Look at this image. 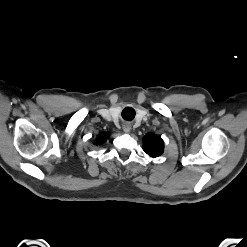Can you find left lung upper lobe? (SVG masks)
<instances>
[{"instance_id": "obj_1", "label": "left lung upper lobe", "mask_w": 247, "mask_h": 247, "mask_svg": "<svg viewBox=\"0 0 247 247\" xmlns=\"http://www.w3.org/2000/svg\"><path fill=\"white\" fill-rule=\"evenodd\" d=\"M144 151L151 157H158L164 151V142L158 135H148L143 139Z\"/></svg>"}]
</instances>
